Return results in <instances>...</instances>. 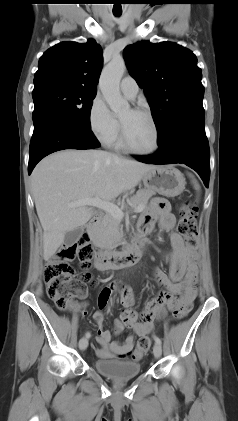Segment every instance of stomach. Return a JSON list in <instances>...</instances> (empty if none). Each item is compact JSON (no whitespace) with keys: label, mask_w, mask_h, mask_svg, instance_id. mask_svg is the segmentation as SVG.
<instances>
[{"label":"stomach","mask_w":238,"mask_h":421,"mask_svg":"<svg viewBox=\"0 0 238 421\" xmlns=\"http://www.w3.org/2000/svg\"><path fill=\"white\" fill-rule=\"evenodd\" d=\"M144 186L168 197H174L185 189L183 174L172 166H154L143 176Z\"/></svg>","instance_id":"0dacf381"}]
</instances>
